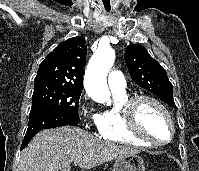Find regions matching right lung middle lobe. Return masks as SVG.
Returning <instances> with one entry per match:
<instances>
[{
	"label": "right lung middle lobe",
	"mask_w": 199,
	"mask_h": 171,
	"mask_svg": "<svg viewBox=\"0 0 199 171\" xmlns=\"http://www.w3.org/2000/svg\"><path fill=\"white\" fill-rule=\"evenodd\" d=\"M82 90L55 83H34L31 111L55 109L79 121L78 102Z\"/></svg>",
	"instance_id": "right-lung-middle-lobe-1"
}]
</instances>
